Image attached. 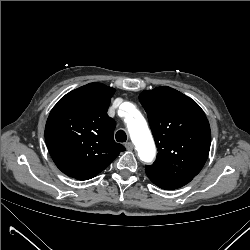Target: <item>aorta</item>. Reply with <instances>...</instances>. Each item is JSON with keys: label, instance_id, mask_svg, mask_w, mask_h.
<instances>
[{"label": "aorta", "instance_id": "aorta-1", "mask_svg": "<svg viewBox=\"0 0 250 250\" xmlns=\"http://www.w3.org/2000/svg\"><path fill=\"white\" fill-rule=\"evenodd\" d=\"M136 114L137 121L128 122V131L132 142L136 146L140 159L144 162H151L155 156V144L148 129V126L141 114L132 107Z\"/></svg>", "mask_w": 250, "mask_h": 250}]
</instances>
